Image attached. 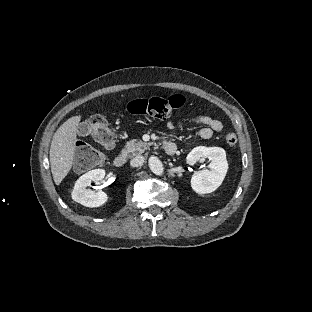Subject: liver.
I'll use <instances>...</instances> for the list:
<instances>
[{"label":"liver","mask_w":312,"mask_h":312,"mask_svg":"<svg viewBox=\"0 0 312 312\" xmlns=\"http://www.w3.org/2000/svg\"><path fill=\"white\" fill-rule=\"evenodd\" d=\"M81 116H73L55 132L50 147V165L53 179L59 185L72 168L77 127Z\"/></svg>","instance_id":"6515ba94"}]
</instances>
